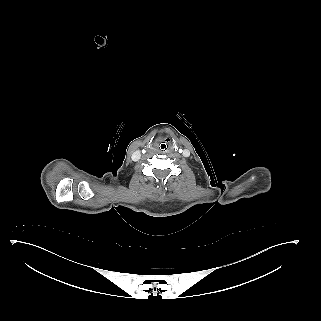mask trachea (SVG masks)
Returning <instances> with one entry per match:
<instances>
[{"label":"trachea","instance_id":"3493384b","mask_svg":"<svg viewBox=\"0 0 321 321\" xmlns=\"http://www.w3.org/2000/svg\"><path fill=\"white\" fill-rule=\"evenodd\" d=\"M158 149H159L160 152L165 153V152L168 151L169 146H168L167 143L162 142V143L159 144Z\"/></svg>","mask_w":321,"mask_h":321}]
</instances>
